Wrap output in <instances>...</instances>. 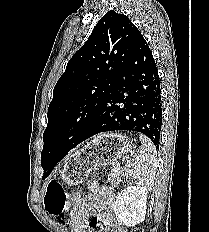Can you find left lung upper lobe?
Segmentation results:
<instances>
[{"instance_id": "left-lung-upper-lobe-1", "label": "left lung upper lobe", "mask_w": 209, "mask_h": 232, "mask_svg": "<svg viewBox=\"0 0 209 232\" xmlns=\"http://www.w3.org/2000/svg\"><path fill=\"white\" fill-rule=\"evenodd\" d=\"M141 37L127 16L110 10L69 60L48 108L41 152L43 179L79 144Z\"/></svg>"}]
</instances>
